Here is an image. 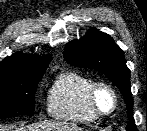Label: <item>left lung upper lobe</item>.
I'll return each instance as SVG.
<instances>
[{
  "instance_id": "left-lung-upper-lobe-1",
  "label": "left lung upper lobe",
  "mask_w": 147,
  "mask_h": 131,
  "mask_svg": "<svg viewBox=\"0 0 147 131\" xmlns=\"http://www.w3.org/2000/svg\"><path fill=\"white\" fill-rule=\"evenodd\" d=\"M64 59L71 65L90 68L107 76L121 91L127 105L128 131H136L133 118V98L130 87V70L123 51L108 34L92 28L80 40L71 41L64 49Z\"/></svg>"
}]
</instances>
